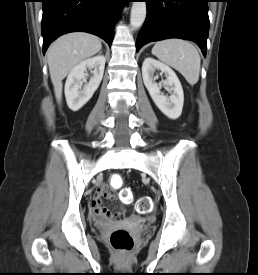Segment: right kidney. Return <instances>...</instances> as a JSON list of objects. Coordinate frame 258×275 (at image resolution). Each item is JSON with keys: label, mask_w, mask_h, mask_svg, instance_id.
I'll use <instances>...</instances> for the list:
<instances>
[{"label": "right kidney", "mask_w": 258, "mask_h": 275, "mask_svg": "<svg viewBox=\"0 0 258 275\" xmlns=\"http://www.w3.org/2000/svg\"><path fill=\"white\" fill-rule=\"evenodd\" d=\"M105 62V57L98 55L80 62L70 71L65 83V97L72 111H78L91 99L103 78ZM87 68L94 69L93 77L81 90Z\"/></svg>", "instance_id": "1"}]
</instances>
